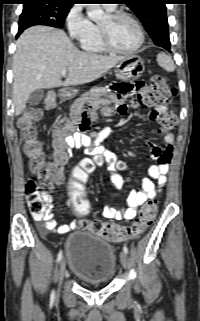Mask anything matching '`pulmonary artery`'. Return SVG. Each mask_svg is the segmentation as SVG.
I'll use <instances>...</instances> for the list:
<instances>
[{
	"label": "pulmonary artery",
	"mask_w": 200,
	"mask_h": 321,
	"mask_svg": "<svg viewBox=\"0 0 200 321\" xmlns=\"http://www.w3.org/2000/svg\"><path fill=\"white\" fill-rule=\"evenodd\" d=\"M106 7L110 8V9H113V8H115V5L114 4H108V5H106Z\"/></svg>",
	"instance_id": "e3ab8cb5"
}]
</instances>
